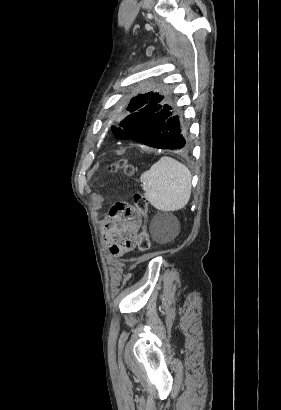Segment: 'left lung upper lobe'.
<instances>
[{"label":"left lung upper lobe","instance_id":"1","mask_svg":"<svg viewBox=\"0 0 281 410\" xmlns=\"http://www.w3.org/2000/svg\"><path fill=\"white\" fill-rule=\"evenodd\" d=\"M155 94L154 92H149L145 94H139L137 97H134L131 101L129 106L127 107V110L129 112H137L141 108H143L149 101V99L152 97V95ZM113 134L118 137L121 135L120 131L118 128L113 127L112 128Z\"/></svg>","mask_w":281,"mask_h":410}]
</instances>
